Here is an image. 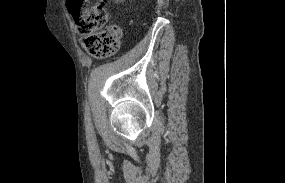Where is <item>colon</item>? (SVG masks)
I'll list each match as a JSON object with an SVG mask.
<instances>
[{"mask_svg":"<svg viewBox=\"0 0 285 183\" xmlns=\"http://www.w3.org/2000/svg\"><path fill=\"white\" fill-rule=\"evenodd\" d=\"M67 9L87 52L96 58L110 57L118 52L121 28L106 26L108 13L103 0L92 4L89 0H68Z\"/></svg>","mask_w":285,"mask_h":183,"instance_id":"obj_1","label":"colon"}]
</instances>
